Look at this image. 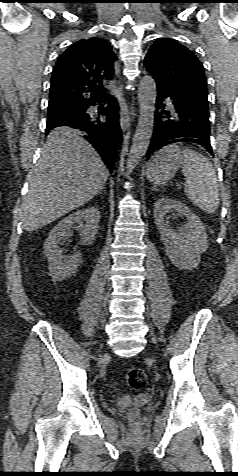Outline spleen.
<instances>
[{
  "instance_id": "obj_1",
  "label": "spleen",
  "mask_w": 238,
  "mask_h": 476,
  "mask_svg": "<svg viewBox=\"0 0 238 476\" xmlns=\"http://www.w3.org/2000/svg\"><path fill=\"white\" fill-rule=\"evenodd\" d=\"M182 172L185 176L184 192L190 201L208 213L219 206V189L212 163L202 154L183 149Z\"/></svg>"
}]
</instances>
